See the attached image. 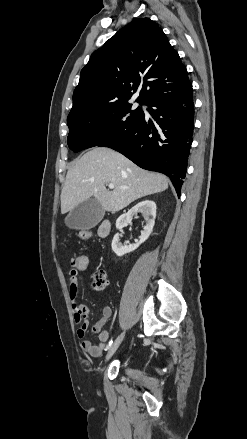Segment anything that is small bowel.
<instances>
[{"label": "small bowel", "instance_id": "1", "mask_svg": "<svg viewBox=\"0 0 247 439\" xmlns=\"http://www.w3.org/2000/svg\"><path fill=\"white\" fill-rule=\"evenodd\" d=\"M79 285V271L71 269L69 272V295L72 299V311L74 319L78 325L77 336L81 340L82 350L92 357H99L103 353L106 343L109 339L110 332L104 329L105 324L112 316V309L110 306H105L102 309V314L100 319L95 322L91 331L98 334L99 342L97 344H92L90 341L85 339L87 331L89 329L88 314L89 308L84 304H78L75 300L78 293Z\"/></svg>", "mask_w": 247, "mask_h": 439}]
</instances>
